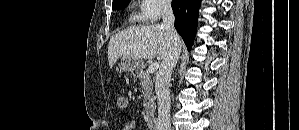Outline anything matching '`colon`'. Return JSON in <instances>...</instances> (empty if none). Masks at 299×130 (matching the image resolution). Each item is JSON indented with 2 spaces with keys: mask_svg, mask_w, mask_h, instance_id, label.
<instances>
[{
  "mask_svg": "<svg viewBox=\"0 0 299 130\" xmlns=\"http://www.w3.org/2000/svg\"><path fill=\"white\" fill-rule=\"evenodd\" d=\"M117 106L120 108V109H125L127 107V99L125 96L123 95H120L118 98H117Z\"/></svg>",
  "mask_w": 299,
  "mask_h": 130,
  "instance_id": "obj_1",
  "label": "colon"
}]
</instances>
